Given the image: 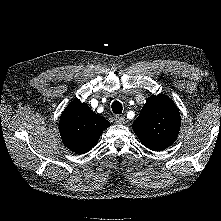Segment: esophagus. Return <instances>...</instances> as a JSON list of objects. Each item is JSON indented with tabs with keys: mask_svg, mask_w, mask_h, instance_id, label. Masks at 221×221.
Returning a JSON list of instances; mask_svg holds the SVG:
<instances>
[{
	"mask_svg": "<svg viewBox=\"0 0 221 221\" xmlns=\"http://www.w3.org/2000/svg\"><path fill=\"white\" fill-rule=\"evenodd\" d=\"M115 123H117V124H124L125 123L124 116L116 115L115 116Z\"/></svg>",
	"mask_w": 221,
	"mask_h": 221,
	"instance_id": "esophagus-1",
	"label": "esophagus"
}]
</instances>
